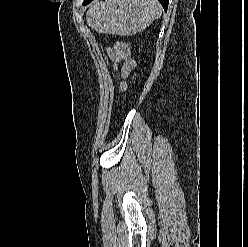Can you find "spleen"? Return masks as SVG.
Returning a JSON list of instances; mask_svg holds the SVG:
<instances>
[{
    "instance_id": "obj_1",
    "label": "spleen",
    "mask_w": 248,
    "mask_h": 247,
    "mask_svg": "<svg viewBox=\"0 0 248 247\" xmlns=\"http://www.w3.org/2000/svg\"><path fill=\"white\" fill-rule=\"evenodd\" d=\"M161 14L157 0H105L88 10V25L100 33L134 35L146 29Z\"/></svg>"
}]
</instances>
